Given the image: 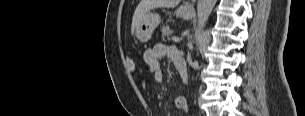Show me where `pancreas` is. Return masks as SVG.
Listing matches in <instances>:
<instances>
[{"mask_svg": "<svg viewBox=\"0 0 305 116\" xmlns=\"http://www.w3.org/2000/svg\"><path fill=\"white\" fill-rule=\"evenodd\" d=\"M162 32V39L165 41V39H170V36L172 35V31L170 30L169 26H163L161 28Z\"/></svg>", "mask_w": 305, "mask_h": 116, "instance_id": "pancreas-1", "label": "pancreas"}]
</instances>
